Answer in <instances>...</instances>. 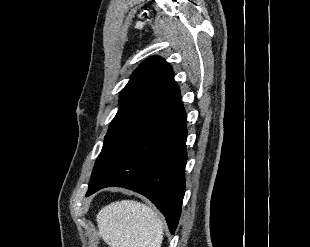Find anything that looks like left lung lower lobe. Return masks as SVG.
<instances>
[{"label": "left lung lower lobe", "mask_w": 310, "mask_h": 247, "mask_svg": "<svg viewBox=\"0 0 310 247\" xmlns=\"http://www.w3.org/2000/svg\"><path fill=\"white\" fill-rule=\"evenodd\" d=\"M186 122L179 102L133 140L86 196L110 186L138 192L163 213L173 234L185 192Z\"/></svg>", "instance_id": "left-lung-lower-lobe-1"}]
</instances>
